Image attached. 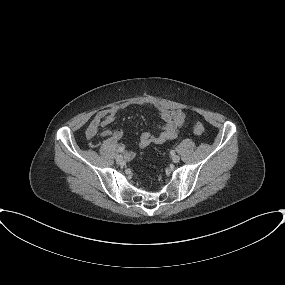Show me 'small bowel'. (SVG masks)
<instances>
[{
  "instance_id": "1",
  "label": "small bowel",
  "mask_w": 285,
  "mask_h": 285,
  "mask_svg": "<svg viewBox=\"0 0 285 285\" xmlns=\"http://www.w3.org/2000/svg\"><path fill=\"white\" fill-rule=\"evenodd\" d=\"M140 105H155L159 112V117L165 122L164 125L158 126L160 133L154 135L148 132L141 134L138 140L140 148H145L151 144L161 145L177 137L179 129L184 125V113L179 109H167L160 104H154L148 99H143L139 102ZM124 106H114L108 109L99 111L89 123L86 129V138L91 141L98 134L99 128L110 125L118 117L121 109ZM104 137L103 144L108 147H117L125 150V146L119 143L123 136L121 129L111 130L105 129L102 131ZM90 147L96 148L98 144L90 142ZM129 157L133 155L132 152L126 151Z\"/></svg>"
}]
</instances>
